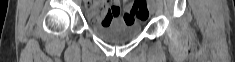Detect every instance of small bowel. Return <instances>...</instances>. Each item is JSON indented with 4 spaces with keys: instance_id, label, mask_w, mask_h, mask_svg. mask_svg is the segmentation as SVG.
Instances as JSON below:
<instances>
[{
    "instance_id": "small-bowel-1",
    "label": "small bowel",
    "mask_w": 235,
    "mask_h": 62,
    "mask_svg": "<svg viewBox=\"0 0 235 62\" xmlns=\"http://www.w3.org/2000/svg\"><path fill=\"white\" fill-rule=\"evenodd\" d=\"M131 7L130 1H125V9L129 10ZM120 1H112L107 8L104 7L102 2H93L88 9V18L92 22H102L103 19L107 16L109 23H113L117 20L127 21L129 17V12L124 14L123 17H120Z\"/></svg>"
}]
</instances>
